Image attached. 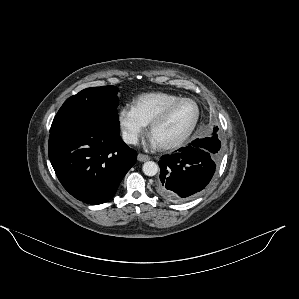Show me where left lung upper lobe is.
<instances>
[{
  "mask_svg": "<svg viewBox=\"0 0 299 299\" xmlns=\"http://www.w3.org/2000/svg\"><path fill=\"white\" fill-rule=\"evenodd\" d=\"M217 131H218V127H215L213 134L211 135V137H209V139L212 142V144L220 151L221 142L218 139Z\"/></svg>",
  "mask_w": 299,
  "mask_h": 299,
  "instance_id": "obj_1",
  "label": "left lung upper lobe"
}]
</instances>
